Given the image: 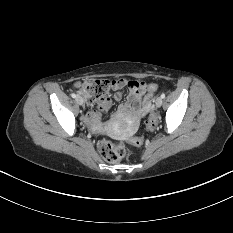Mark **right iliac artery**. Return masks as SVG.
Wrapping results in <instances>:
<instances>
[{"mask_svg": "<svg viewBox=\"0 0 233 233\" xmlns=\"http://www.w3.org/2000/svg\"><path fill=\"white\" fill-rule=\"evenodd\" d=\"M71 96H72L73 98H76V94H75V93H72Z\"/></svg>", "mask_w": 233, "mask_h": 233, "instance_id": "right-iliac-artery-1", "label": "right iliac artery"}]
</instances>
